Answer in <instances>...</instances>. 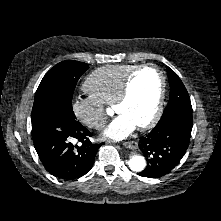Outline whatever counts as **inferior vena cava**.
Here are the masks:
<instances>
[{
  "label": "inferior vena cava",
  "instance_id": "1",
  "mask_svg": "<svg viewBox=\"0 0 221 221\" xmlns=\"http://www.w3.org/2000/svg\"><path fill=\"white\" fill-rule=\"evenodd\" d=\"M104 121L103 120H97V121H93V122H91V125L92 126H95L96 128H99V129H101V128H103L104 127Z\"/></svg>",
  "mask_w": 221,
  "mask_h": 221
}]
</instances>
